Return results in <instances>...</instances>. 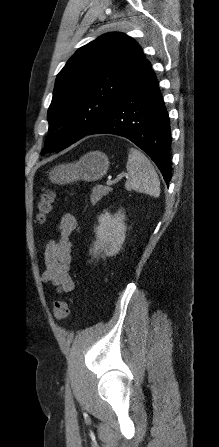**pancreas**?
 <instances>
[{
	"mask_svg": "<svg viewBox=\"0 0 219 447\" xmlns=\"http://www.w3.org/2000/svg\"><path fill=\"white\" fill-rule=\"evenodd\" d=\"M112 191V188L107 186H98L97 188L92 189V194L90 196L91 203L95 205L98 201L101 200L103 196L109 194Z\"/></svg>",
	"mask_w": 219,
	"mask_h": 447,
	"instance_id": "cf45deb5",
	"label": "pancreas"
}]
</instances>
